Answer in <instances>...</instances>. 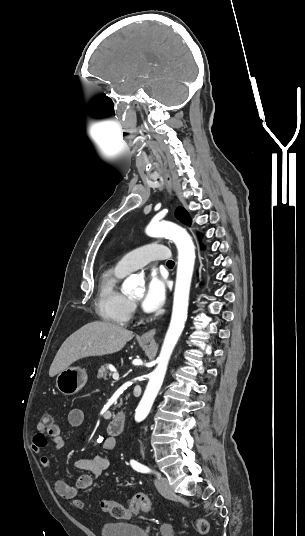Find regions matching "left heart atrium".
I'll return each instance as SVG.
<instances>
[{"mask_svg":"<svg viewBox=\"0 0 305 536\" xmlns=\"http://www.w3.org/2000/svg\"><path fill=\"white\" fill-rule=\"evenodd\" d=\"M164 299V281L156 273H151L147 279L146 291L142 300V308L147 312L156 311L162 306Z\"/></svg>","mask_w":305,"mask_h":536,"instance_id":"obj_1","label":"left heart atrium"}]
</instances>
